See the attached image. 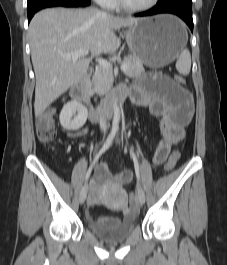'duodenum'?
I'll return each mask as SVG.
<instances>
[{"instance_id": "obj_1", "label": "duodenum", "mask_w": 227, "mask_h": 265, "mask_svg": "<svg viewBox=\"0 0 227 265\" xmlns=\"http://www.w3.org/2000/svg\"><path fill=\"white\" fill-rule=\"evenodd\" d=\"M89 76L88 74L80 77L71 87L70 93L73 98L86 104L90 109V114L93 120H101L111 117L114 106L121 104L127 97V90L124 88H118L114 99L110 103L93 107L90 104V98L88 93Z\"/></svg>"}]
</instances>
